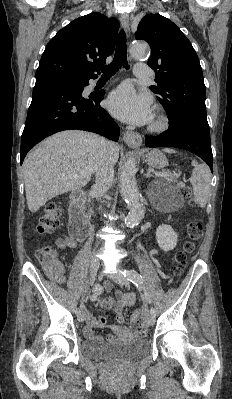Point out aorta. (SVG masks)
<instances>
[{
  "label": "aorta",
  "instance_id": "aorta-1",
  "mask_svg": "<svg viewBox=\"0 0 232 399\" xmlns=\"http://www.w3.org/2000/svg\"><path fill=\"white\" fill-rule=\"evenodd\" d=\"M148 45L143 42H135L130 48L131 55L136 59H141L146 55ZM136 160L133 155L128 157L125 161L120 182H121V195L127 203L129 213L125 218V224L128 227L138 225L144 217L143 206L140 202V193L136 184Z\"/></svg>",
  "mask_w": 232,
  "mask_h": 399
}]
</instances>
